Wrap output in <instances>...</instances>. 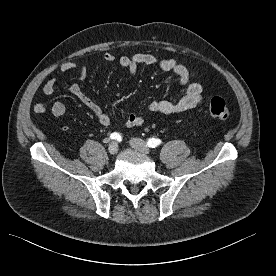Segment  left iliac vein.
Instances as JSON below:
<instances>
[{
  "instance_id": "obj_1",
  "label": "left iliac vein",
  "mask_w": 276,
  "mask_h": 276,
  "mask_svg": "<svg viewBox=\"0 0 276 276\" xmlns=\"http://www.w3.org/2000/svg\"><path fill=\"white\" fill-rule=\"evenodd\" d=\"M130 146L143 153V154H146L148 155L150 153V148L147 146V144L140 138H133L130 140Z\"/></svg>"
}]
</instances>
